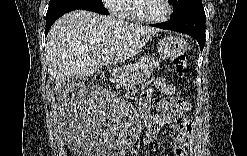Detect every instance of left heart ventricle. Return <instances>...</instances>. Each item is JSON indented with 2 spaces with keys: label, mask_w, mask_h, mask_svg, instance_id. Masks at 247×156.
I'll return each instance as SVG.
<instances>
[{
  "label": "left heart ventricle",
  "mask_w": 247,
  "mask_h": 156,
  "mask_svg": "<svg viewBox=\"0 0 247 156\" xmlns=\"http://www.w3.org/2000/svg\"><path fill=\"white\" fill-rule=\"evenodd\" d=\"M137 11L145 17H159L165 13V6L162 0L137 1Z\"/></svg>",
  "instance_id": "obj_1"
}]
</instances>
